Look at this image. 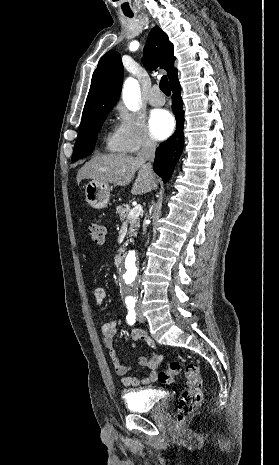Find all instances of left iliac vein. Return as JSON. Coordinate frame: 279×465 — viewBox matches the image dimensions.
I'll return each instance as SVG.
<instances>
[{
	"mask_svg": "<svg viewBox=\"0 0 279 465\" xmlns=\"http://www.w3.org/2000/svg\"><path fill=\"white\" fill-rule=\"evenodd\" d=\"M137 320L139 322H144V320H145L144 316H143V314H142V312L140 310L137 311Z\"/></svg>",
	"mask_w": 279,
	"mask_h": 465,
	"instance_id": "4c4485c4",
	"label": "left iliac vein"
}]
</instances>
